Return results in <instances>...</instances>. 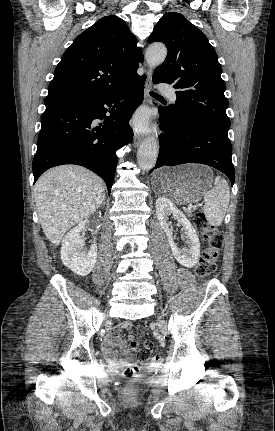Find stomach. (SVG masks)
Segmentation results:
<instances>
[{
    "label": "stomach",
    "instance_id": "1",
    "mask_svg": "<svg viewBox=\"0 0 275 431\" xmlns=\"http://www.w3.org/2000/svg\"><path fill=\"white\" fill-rule=\"evenodd\" d=\"M212 170L201 164L164 167L154 172L153 190L177 204L199 201L212 186Z\"/></svg>",
    "mask_w": 275,
    "mask_h": 431
}]
</instances>
